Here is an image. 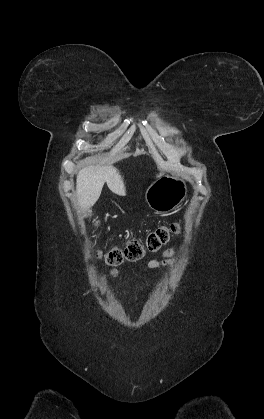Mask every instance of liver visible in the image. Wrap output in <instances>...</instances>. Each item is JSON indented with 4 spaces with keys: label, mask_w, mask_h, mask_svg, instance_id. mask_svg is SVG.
Returning <instances> with one entry per match:
<instances>
[{
    "label": "liver",
    "mask_w": 264,
    "mask_h": 419,
    "mask_svg": "<svg viewBox=\"0 0 264 419\" xmlns=\"http://www.w3.org/2000/svg\"><path fill=\"white\" fill-rule=\"evenodd\" d=\"M105 183L113 193L126 195L123 178L114 166L90 165L81 169L76 179L78 205L83 209L92 207L99 199Z\"/></svg>",
    "instance_id": "6515ba94"
}]
</instances>
